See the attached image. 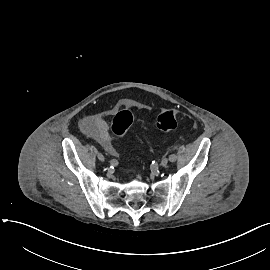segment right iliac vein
Returning <instances> with one entry per match:
<instances>
[{
    "label": "right iliac vein",
    "mask_w": 270,
    "mask_h": 270,
    "mask_svg": "<svg viewBox=\"0 0 270 270\" xmlns=\"http://www.w3.org/2000/svg\"><path fill=\"white\" fill-rule=\"evenodd\" d=\"M97 157L101 162H103L105 160L104 156L101 153H98Z\"/></svg>",
    "instance_id": "63e3f726"
}]
</instances>
